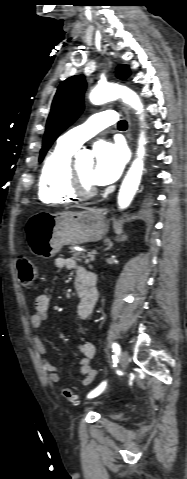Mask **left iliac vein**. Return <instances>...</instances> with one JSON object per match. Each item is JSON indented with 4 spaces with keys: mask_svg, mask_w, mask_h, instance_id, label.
Returning a JSON list of instances; mask_svg holds the SVG:
<instances>
[{
    "mask_svg": "<svg viewBox=\"0 0 187 479\" xmlns=\"http://www.w3.org/2000/svg\"><path fill=\"white\" fill-rule=\"evenodd\" d=\"M120 364L122 369H126L129 364V355L126 351H122L120 354Z\"/></svg>",
    "mask_w": 187,
    "mask_h": 479,
    "instance_id": "obj_1",
    "label": "left iliac vein"
}]
</instances>
